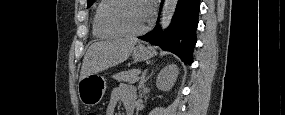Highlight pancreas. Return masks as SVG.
Segmentation results:
<instances>
[{
    "instance_id": "cf45deb5",
    "label": "pancreas",
    "mask_w": 285,
    "mask_h": 115,
    "mask_svg": "<svg viewBox=\"0 0 285 115\" xmlns=\"http://www.w3.org/2000/svg\"><path fill=\"white\" fill-rule=\"evenodd\" d=\"M140 71L137 69H131L128 71H123L118 74L114 75V79H116L118 82H128L133 83L138 79Z\"/></svg>"
}]
</instances>
